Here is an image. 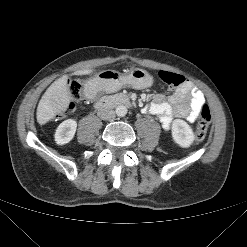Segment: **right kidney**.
Masks as SVG:
<instances>
[{"label":"right kidney","mask_w":247,"mask_h":247,"mask_svg":"<svg viewBox=\"0 0 247 247\" xmlns=\"http://www.w3.org/2000/svg\"><path fill=\"white\" fill-rule=\"evenodd\" d=\"M77 122L73 119L63 121L56 129L54 138L57 144L64 145L69 143L76 132Z\"/></svg>","instance_id":"right-kidney-1"}]
</instances>
